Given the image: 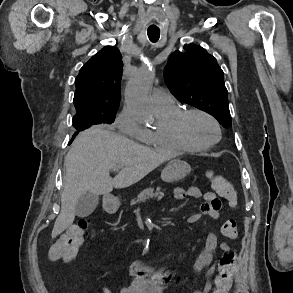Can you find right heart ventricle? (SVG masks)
<instances>
[{
	"label": "right heart ventricle",
	"instance_id": "1",
	"mask_svg": "<svg viewBox=\"0 0 293 293\" xmlns=\"http://www.w3.org/2000/svg\"><path fill=\"white\" fill-rule=\"evenodd\" d=\"M180 110L177 104L168 108L159 109L165 124L162 128L154 131L149 130L148 137L143 142L152 148L173 153L193 151L181 143L170 130V123Z\"/></svg>",
	"mask_w": 293,
	"mask_h": 293
}]
</instances>
